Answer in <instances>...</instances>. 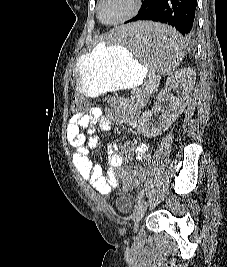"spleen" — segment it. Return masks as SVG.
<instances>
[{"label": "spleen", "mask_w": 227, "mask_h": 267, "mask_svg": "<svg viewBox=\"0 0 227 267\" xmlns=\"http://www.w3.org/2000/svg\"><path fill=\"white\" fill-rule=\"evenodd\" d=\"M117 33L102 36L99 47H112L120 43L122 55H133L141 63H152V72L145 81H162V77H173V71L185 53V43L177 32L155 19H135L115 25Z\"/></svg>", "instance_id": "1"}]
</instances>
